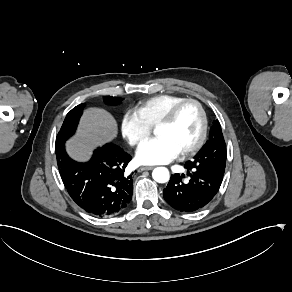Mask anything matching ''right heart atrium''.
<instances>
[{
  "label": "right heart atrium",
  "instance_id": "1",
  "mask_svg": "<svg viewBox=\"0 0 292 292\" xmlns=\"http://www.w3.org/2000/svg\"><path fill=\"white\" fill-rule=\"evenodd\" d=\"M120 131L131 145L141 143L150 133V127L134 109H126L119 121Z\"/></svg>",
  "mask_w": 292,
  "mask_h": 292
}]
</instances>
